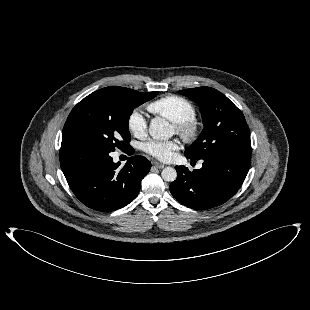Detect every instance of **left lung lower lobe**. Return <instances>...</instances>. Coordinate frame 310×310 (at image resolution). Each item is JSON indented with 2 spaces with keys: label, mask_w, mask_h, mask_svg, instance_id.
Segmentation results:
<instances>
[{
  "label": "left lung lower lobe",
  "mask_w": 310,
  "mask_h": 310,
  "mask_svg": "<svg viewBox=\"0 0 310 310\" xmlns=\"http://www.w3.org/2000/svg\"><path fill=\"white\" fill-rule=\"evenodd\" d=\"M203 161V167L193 172L176 166L177 179L169 187L181 204L196 210L210 209L229 200L242 185L251 157L245 153H220Z\"/></svg>",
  "instance_id": "obj_1"
}]
</instances>
